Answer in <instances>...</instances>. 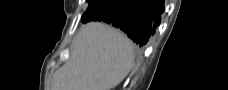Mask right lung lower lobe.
Listing matches in <instances>:
<instances>
[{"label":"right lung lower lobe","mask_w":228,"mask_h":90,"mask_svg":"<svg viewBox=\"0 0 228 90\" xmlns=\"http://www.w3.org/2000/svg\"><path fill=\"white\" fill-rule=\"evenodd\" d=\"M164 9V0H100L89 4L81 20L111 24L144 47L159 26Z\"/></svg>","instance_id":"right-lung-lower-lobe-1"}]
</instances>
